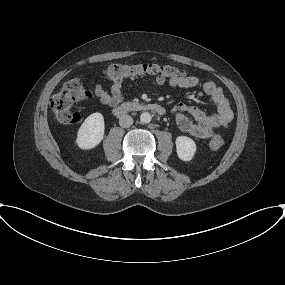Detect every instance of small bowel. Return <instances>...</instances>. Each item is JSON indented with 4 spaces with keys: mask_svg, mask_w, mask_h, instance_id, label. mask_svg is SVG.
<instances>
[{
    "mask_svg": "<svg viewBox=\"0 0 285 285\" xmlns=\"http://www.w3.org/2000/svg\"><path fill=\"white\" fill-rule=\"evenodd\" d=\"M153 83L158 86L168 83L170 86L181 88L201 87L203 92L210 97L216 106L217 112L207 115L199 107L190 106L185 103L176 104L173 108V113L175 114L177 126L182 132L196 138L208 139L218 131L226 129L233 119V112L223 89L213 80L201 82L196 77L185 76L170 80L155 78ZM95 94L102 104L116 107L123 100L124 87L121 81H115L111 86L110 92H107L98 83L95 86Z\"/></svg>",
    "mask_w": 285,
    "mask_h": 285,
    "instance_id": "small-bowel-1",
    "label": "small bowel"
}]
</instances>
